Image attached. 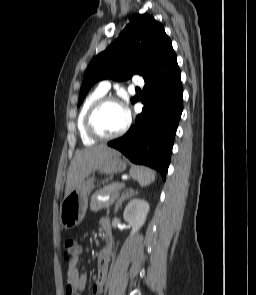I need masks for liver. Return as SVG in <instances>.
Returning <instances> with one entry per match:
<instances>
[{"mask_svg":"<svg viewBox=\"0 0 256 295\" xmlns=\"http://www.w3.org/2000/svg\"><path fill=\"white\" fill-rule=\"evenodd\" d=\"M115 154L119 153L105 145L85 148L78 151L67 171L65 196L80 185L92 172L98 170Z\"/></svg>","mask_w":256,"mask_h":295,"instance_id":"liver-1","label":"liver"}]
</instances>
